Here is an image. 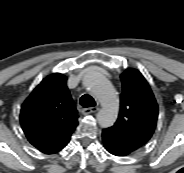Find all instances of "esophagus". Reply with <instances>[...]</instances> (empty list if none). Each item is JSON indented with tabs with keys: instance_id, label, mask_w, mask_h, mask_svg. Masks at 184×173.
I'll list each match as a JSON object with an SVG mask.
<instances>
[{
	"instance_id": "34e87169",
	"label": "esophagus",
	"mask_w": 184,
	"mask_h": 173,
	"mask_svg": "<svg viewBox=\"0 0 184 173\" xmlns=\"http://www.w3.org/2000/svg\"><path fill=\"white\" fill-rule=\"evenodd\" d=\"M98 109H99L98 107L83 108V109L81 110V113H82L83 115H87V114H91V113L97 112Z\"/></svg>"
}]
</instances>
